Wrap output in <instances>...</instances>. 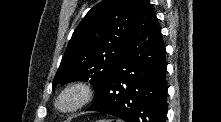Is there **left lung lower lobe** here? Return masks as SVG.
I'll return each instance as SVG.
<instances>
[{"label":"left lung lower lobe","mask_w":221,"mask_h":122,"mask_svg":"<svg viewBox=\"0 0 221 122\" xmlns=\"http://www.w3.org/2000/svg\"><path fill=\"white\" fill-rule=\"evenodd\" d=\"M165 45L148 0L137 18L102 94L87 111L126 122H165L167 111Z\"/></svg>","instance_id":"obj_1"}]
</instances>
